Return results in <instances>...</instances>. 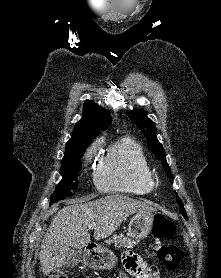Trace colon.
<instances>
[{
  "instance_id": "colon-1",
  "label": "colon",
  "mask_w": 221,
  "mask_h": 278,
  "mask_svg": "<svg viewBox=\"0 0 221 278\" xmlns=\"http://www.w3.org/2000/svg\"><path fill=\"white\" fill-rule=\"evenodd\" d=\"M175 227L171 220L162 214H157L153 221V237L155 239L154 251L161 261L164 269H176L183 259V251L178 246L168 241L174 236ZM158 274L155 267H151V275L154 277ZM46 278H88L86 276L76 275L70 277L65 271H54Z\"/></svg>"
}]
</instances>
